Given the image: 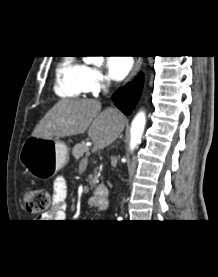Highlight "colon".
Masks as SVG:
<instances>
[{"mask_svg": "<svg viewBox=\"0 0 218 277\" xmlns=\"http://www.w3.org/2000/svg\"><path fill=\"white\" fill-rule=\"evenodd\" d=\"M23 203L28 213L42 214L50 205V193L45 188H29L23 194Z\"/></svg>", "mask_w": 218, "mask_h": 277, "instance_id": "obj_1", "label": "colon"}]
</instances>
